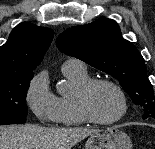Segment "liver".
<instances>
[{
  "mask_svg": "<svg viewBox=\"0 0 155 149\" xmlns=\"http://www.w3.org/2000/svg\"><path fill=\"white\" fill-rule=\"evenodd\" d=\"M88 128H45L33 124L0 126V149H71L99 132Z\"/></svg>",
  "mask_w": 155,
  "mask_h": 149,
  "instance_id": "liver-1",
  "label": "liver"
}]
</instances>
